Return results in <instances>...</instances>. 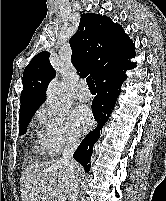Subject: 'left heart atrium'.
I'll use <instances>...</instances> for the list:
<instances>
[{"instance_id": "1", "label": "left heart atrium", "mask_w": 166, "mask_h": 201, "mask_svg": "<svg viewBox=\"0 0 166 201\" xmlns=\"http://www.w3.org/2000/svg\"><path fill=\"white\" fill-rule=\"evenodd\" d=\"M72 124L78 134L85 133L93 123L90 110L86 107H77L71 116Z\"/></svg>"}]
</instances>
